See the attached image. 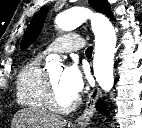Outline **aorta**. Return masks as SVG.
Masks as SVG:
<instances>
[{
	"instance_id": "obj_1",
	"label": "aorta",
	"mask_w": 142,
	"mask_h": 128,
	"mask_svg": "<svg viewBox=\"0 0 142 128\" xmlns=\"http://www.w3.org/2000/svg\"><path fill=\"white\" fill-rule=\"evenodd\" d=\"M91 19V27L95 36V54L93 70L96 81L104 91H110L114 85L113 66L116 51V32L108 18L93 14L84 8H71L56 16V27L71 31ZM60 57L51 54L46 58V66L51 69L59 64Z\"/></svg>"
}]
</instances>
